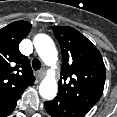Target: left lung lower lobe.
I'll return each instance as SVG.
<instances>
[{"label": "left lung lower lobe", "instance_id": "left-lung-lower-lobe-1", "mask_svg": "<svg viewBox=\"0 0 117 117\" xmlns=\"http://www.w3.org/2000/svg\"><path fill=\"white\" fill-rule=\"evenodd\" d=\"M45 108L52 117H83L87 114L86 111L59 96L52 101H46Z\"/></svg>", "mask_w": 117, "mask_h": 117}]
</instances>
